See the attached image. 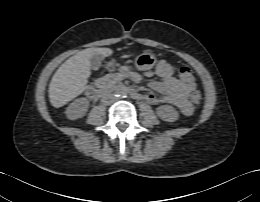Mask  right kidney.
Listing matches in <instances>:
<instances>
[{
    "label": "right kidney",
    "instance_id": "obj_1",
    "mask_svg": "<svg viewBox=\"0 0 260 202\" xmlns=\"http://www.w3.org/2000/svg\"><path fill=\"white\" fill-rule=\"evenodd\" d=\"M89 107V101L86 98L75 99L66 109L68 119L75 120L83 117Z\"/></svg>",
    "mask_w": 260,
    "mask_h": 202
}]
</instances>
